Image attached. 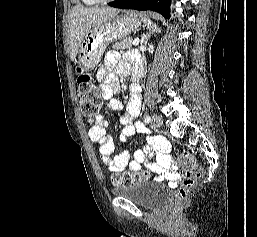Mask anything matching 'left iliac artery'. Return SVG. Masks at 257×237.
Segmentation results:
<instances>
[{
  "instance_id": "44dca946",
  "label": "left iliac artery",
  "mask_w": 257,
  "mask_h": 237,
  "mask_svg": "<svg viewBox=\"0 0 257 237\" xmlns=\"http://www.w3.org/2000/svg\"><path fill=\"white\" fill-rule=\"evenodd\" d=\"M151 121V117L149 115L145 116V123H149Z\"/></svg>"
}]
</instances>
